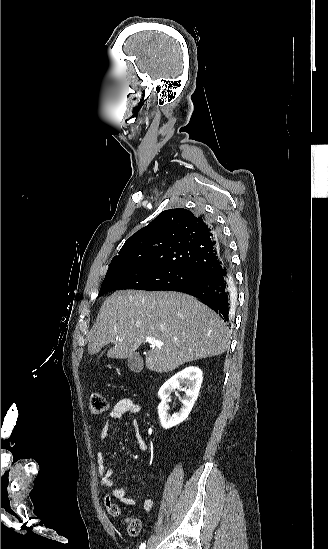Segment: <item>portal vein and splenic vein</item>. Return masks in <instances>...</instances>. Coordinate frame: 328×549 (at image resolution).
<instances>
[{"instance_id":"18ae733b","label":"portal vein and splenic vein","mask_w":328,"mask_h":549,"mask_svg":"<svg viewBox=\"0 0 328 549\" xmlns=\"http://www.w3.org/2000/svg\"><path fill=\"white\" fill-rule=\"evenodd\" d=\"M116 341H123V339H119V337H116ZM149 345H153V347H162L164 343L162 341H155V339H148Z\"/></svg>"}]
</instances>
